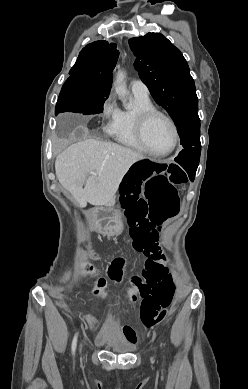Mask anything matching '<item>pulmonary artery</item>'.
Wrapping results in <instances>:
<instances>
[{"label": "pulmonary artery", "instance_id": "pulmonary-artery-1", "mask_svg": "<svg viewBox=\"0 0 248 389\" xmlns=\"http://www.w3.org/2000/svg\"><path fill=\"white\" fill-rule=\"evenodd\" d=\"M131 91L134 95L148 98L149 97V90L148 87L141 81V80H133L131 82Z\"/></svg>", "mask_w": 248, "mask_h": 389}]
</instances>
